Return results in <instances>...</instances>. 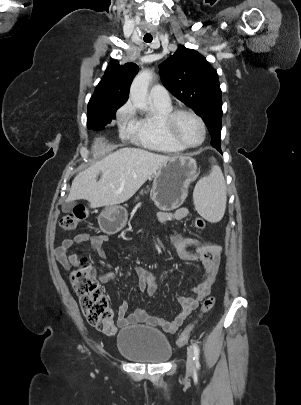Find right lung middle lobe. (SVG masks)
Segmentation results:
<instances>
[{
  "label": "right lung middle lobe",
  "mask_w": 301,
  "mask_h": 405,
  "mask_svg": "<svg viewBox=\"0 0 301 405\" xmlns=\"http://www.w3.org/2000/svg\"><path fill=\"white\" fill-rule=\"evenodd\" d=\"M118 108L111 109L101 105L88 106L87 126L94 130H101L105 125L115 119Z\"/></svg>",
  "instance_id": "right-lung-middle-lobe-1"
}]
</instances>
